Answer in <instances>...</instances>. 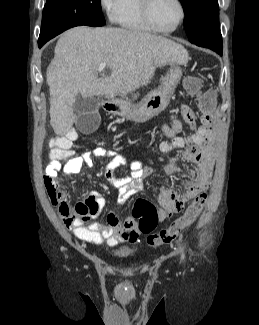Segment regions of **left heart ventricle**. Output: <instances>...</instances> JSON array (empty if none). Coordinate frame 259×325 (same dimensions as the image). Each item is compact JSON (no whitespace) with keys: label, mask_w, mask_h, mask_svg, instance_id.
Segmentation results:
<instances>
[{"label":"left heart ventricle","mask_w":259,"mask_h":325,"mask_svg":"<svg viewBox=\"0 0 259 325\" xmlns=\"http://www.w3.org/2000/svg\"><path fill=\"white\" fill-rule=\"evenodd\" d=\"M151 14L158 28L168 30L177 23L180 9L175 0H154Z\"/></svg>","instance_id":"obj_1"}]
</instances>
